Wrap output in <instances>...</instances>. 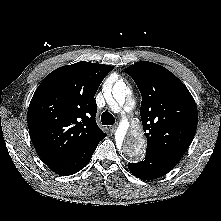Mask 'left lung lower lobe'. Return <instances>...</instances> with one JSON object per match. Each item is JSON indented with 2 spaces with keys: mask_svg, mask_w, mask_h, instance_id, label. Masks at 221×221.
<instances>
[{
  "mask_svg": "<svg viewBox=\"0 0 221 221\" xmlns=\"http://www.w3.org/2000/svg\"><path fill=\"white\" fill-rule=\"evenodd\" d=\"M176 166V162L162 156L146 152V157L138 163H128L130 172L143 180L159 178Z\"/></svg>",
  "mask_w": 221,
  "mask_h": 221,
  "instance_id": "left-lung-lower-lobe-1",
  "label": "left lung lower lobe"
}]
</instances>
